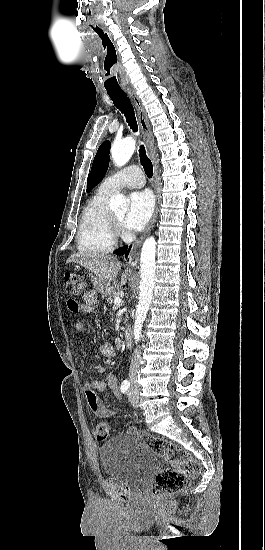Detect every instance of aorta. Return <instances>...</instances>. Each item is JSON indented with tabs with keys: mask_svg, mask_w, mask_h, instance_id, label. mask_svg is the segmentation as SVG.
I'll return each instance as SVG.
<instances>
[{
	"mask_svg": "<svg viewBox=\"0 0 265 550\" xmlns=\"http://www.w3.org/2000/svg\"><path fill=\"white\" fill-rule=\"evenodd\" d=\"M135 147L136 141L132 137H127L120 142L114 143L111 148V157L115 165L124 166L133 155ZM109 205L112 209L121 208L125 211L127 209V200L123 194H117L110 199ZM155 254L156 240L151 236L144 241L140 256V294L133 326V335L136 344L140 341L143 323L153 297Z\"/></svg>",
	"mask_w": 265,
	"mask_h": 550,
	"instance_id": "obj_1",
	"label": "aorta"
}]
</instances>
